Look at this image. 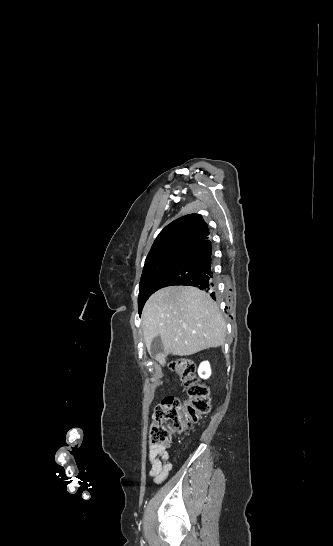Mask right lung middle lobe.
<instances>
[{
	"label": "right lung middle lobe",
	"mask_w": 333,
	"mask_h": 546,
	"mask_svg": "<svg viewBox=\"0 0 333 546\" xmlns=\"http://www.w3.org/2000/svg\"><path fill=\"white\" fill-rule=\"evenodd\" d=\"M188 250L187 248H170L146 258L139 284V312H141L146 300L155 292L160 277Z\"/></svg>",
	"instance_id": "obj_1"
}]
</instances>
